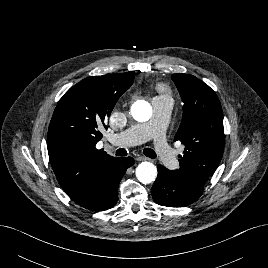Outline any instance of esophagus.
I'll return each instance as SVG.
<instances>
[{"label": "esophagus", "mask_w": 268, "mask_h": 268, "mask_svg": "<svg viewBox=\"0 0 268 268\" xmlns=\"http://www.w3.org/2000/svg\"><path fill=\"white\" fill-rule=\"evenodd\" d=\"M147 160H149V158L146 157V156L139 155V156L137 157V161H147Z\"/></svg>", "instance_id": "obj_1"}]
</instances>
